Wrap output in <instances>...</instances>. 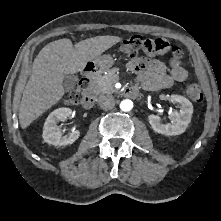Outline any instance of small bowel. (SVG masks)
I'll return each instance as SVG.
<instances>
[{"label":"small bowel","instance_id":"c3829d8e","mask_svg":"<svg viewBox=\"0 0 221 221\" xmlns=\"http://www.w3.org/2000/svg\"><path fill=\"white\" fill-rule=\"evenodd\" d=\"M144 51L151 56L165 52V58L172 61L167 66L160 60L148 57H138L130 60L127 68L137 75L138 83L143 89L156 91L169 88L175 82H182L187 79L188 71L179 61L181 59L179 50L166 47L163 50L145 49Z\"/></svg>","mask_w":221,"mask_h":221}]
</instances>
